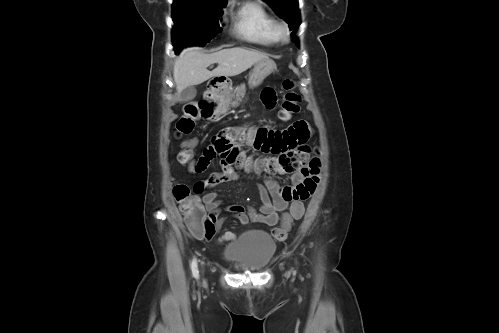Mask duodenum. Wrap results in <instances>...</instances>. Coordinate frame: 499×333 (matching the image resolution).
<instances>
[{
  "instance_id": "1",
  "label": "duodenum",
  "mask_w": 499,
  "mask_h": 333,
  "mask_svg": "<svg viewBox=\"0 0 499 333\" xmlns=\"http://www.w3.org/2000/svg\"><path fill=\"white\" fill-rule=\"evenodd\" d=\"M217 88H218V83L213 82V83L211 84V90H210V93H211V95H212V96H215V94H214L213 92H214Z\"/></svg>"
}]
</instances>
